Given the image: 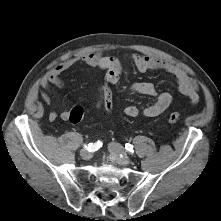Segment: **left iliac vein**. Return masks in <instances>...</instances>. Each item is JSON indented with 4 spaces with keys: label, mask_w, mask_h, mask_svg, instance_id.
<instances>
[{
    "label": "left iliac vein",
    "mask_w": 221,
    "mask_h": 221,
    "mask_svg": "<svg viewBox=\"0 0 221 221\" xmlns=\"http://www.w3.org/2000/svg\"><path fill=\"white\" fill-rule=\"evenodd\" d=\"M110 154L116 158V163L120 166L129 165L132 160L126 155L124 148L118 143H110L108 145Z\"/></svg>",
    "instance_id": "obj_1"
}]
</instances>
